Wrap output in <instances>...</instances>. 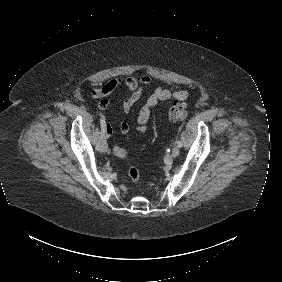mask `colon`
<instances>
[{
	"label": "colon",
	"instance_id": "1",
	"mask_svg": "<svg viewBox=\"0 0 282 282\" xmlns=\"http://www.w3.org/2000/svg\"><path fill=\"white\" fill-rule=\"evenodd\" d=\"M167 115L172 122H177L179 120L184 119L185 117V110L181 107H170L167 110ZM113 155L118 158H128L129 152L127 149L123 147H114ZM129 178L133 183H138L140 181V170L135 163H131L129 167Z\"/></svg>",
	"mask_w": 282,
	"mask_h": 282
}]
</instances>
